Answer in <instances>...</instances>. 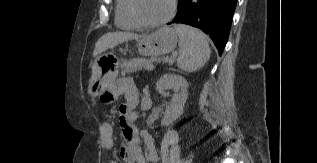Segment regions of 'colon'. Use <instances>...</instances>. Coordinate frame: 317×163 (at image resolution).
<instances>
[{
	"label": "colon",
	"instance_id": "obj_1",
	"mask_svg": "<svg viewBox=\"0 0 317 163\" xmlns=\"http://www.w3.org/2000/svg\"><path fill=\"white\" fill-rule=\"evenodd\" d=\"M112 101V96L111 95H105L103 96V102L109 103Z\"/></svg>",
	"mask_w": 317,
	"mask_h": 163
}]
</instances>
